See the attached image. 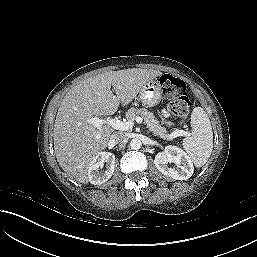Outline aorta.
Here are the masks:
<instances>
[{"label":"aorta","mask_w":257,"mask_h":257,"mask_svg":"<svg viewBox=\"0 0 257 257\" xmlns=\"http://www.w3.org/2000/svg\"><path fill=\"white\" fill-rule=\"evenodd\" d=\"M141 146H142V142L137 138L132 139L130 142V147L133 150H138L141 148Z\"/></svg>","instance_id":"1"}]
</instances>
